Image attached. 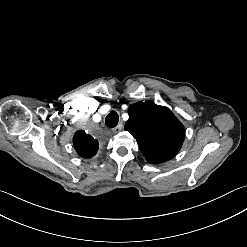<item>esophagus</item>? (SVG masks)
<instances>
[{
  "mask_svg": "<svg viewBox=\"0 0 247 247\" xmlns=\"http://www.w3.org/2000/svg\"><path fill=\"white\" fill-rule=\"evenodd\" d=\"M122 128H123V124H122V122H121V123H119L115 128H112V132L118 133L119 131L122 130Z\"/></svg>",
  "mask_w": 247,
  "mask_h": 247,
  "instance_id": "obj_1",
  "label": "esophagus"
}]
</instances>
